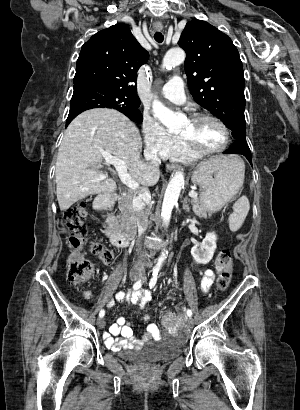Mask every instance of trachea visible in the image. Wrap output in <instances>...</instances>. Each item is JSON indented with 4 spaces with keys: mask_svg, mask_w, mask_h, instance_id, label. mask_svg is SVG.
<instances>
[{
    "mask_svg": "<svg viewBox=\"0 0 300 410\" xmlns=\"http://www.w3.org/2000/svg\"><path fill=\"white\" fill-rule=\"evenodd\" d=\"M154 39L158 42V43H162L164 40V36L161 32H156L154 34Z\"/></svg>",
    "mask_w": 300,
    "mask_h": 410,
    "instance_id": "trachea-1",
    "label": "trachea"
}]
</instances>
